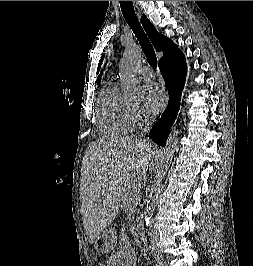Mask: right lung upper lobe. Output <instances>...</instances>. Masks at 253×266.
Returning <instances> with one entry per match:
<instances>
[{
    "instance_id": "1",
    "label": "right lung upper lobe",
    "mask_w": 253,
    "mask_h": 266,
    "mask_svg": "<svg viewBox=\"0 0 253 266\" xmlns=\"http://www.w3.org/2000/svg\"><path fill=\"white\" fill-rule=\"evenodd\" d=\"M141 23L154 48L157 51H162L164 53V56L160 59L159 62L170 59L180 51V49H178L177 45H175L171 39L157 32L153 24L147 19L145 15H142ZM99 80L100 77H98L97 83H99Z\"/></svg>"
}]
</instances>
